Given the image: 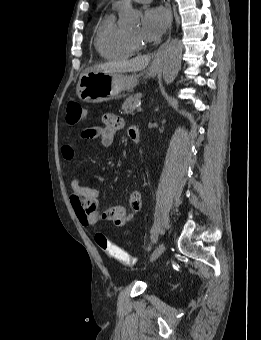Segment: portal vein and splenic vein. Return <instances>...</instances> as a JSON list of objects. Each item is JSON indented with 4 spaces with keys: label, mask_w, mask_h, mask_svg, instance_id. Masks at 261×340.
<instances>
[{
    "label": "portal vein and splenic vein",
    "mask_w": 261,
    "mask_h": 340,
    "mask_svg": "<svg viewBox=\"0 0 261 340\" xmlns=\"http://www.w3.org/2000/svg\"><path fill=\"white\" fill-rule=\"evenodd\" d=\"M136 108H137V112H142L143 111V108L140 106V104H137Z\"/></svg>",
    "instance_id": "1"
}]
</instances>
